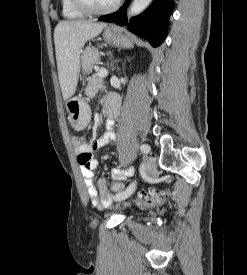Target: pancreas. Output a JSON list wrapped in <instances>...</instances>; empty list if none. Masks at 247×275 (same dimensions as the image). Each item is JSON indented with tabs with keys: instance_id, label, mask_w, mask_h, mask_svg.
<instances>
[{
	"instance_id": "pancreas-1",
	"label": "pancreas",
	"mask_w": 247,
	"mask_h": 275,
	"mask_svg": "<svg viewBox=\"0 0 247 275\" xmlns=\"http://www.w3.org/2000/svg\"><path fill=\"white\" fill-rule=\"evenodd\" d=\"M102 88H103V78L97 74H94V75H92V77L90 78V80L88 82V85L85 89V94L88 97L92 98Z\"/></svg>"
}]
</instances>
